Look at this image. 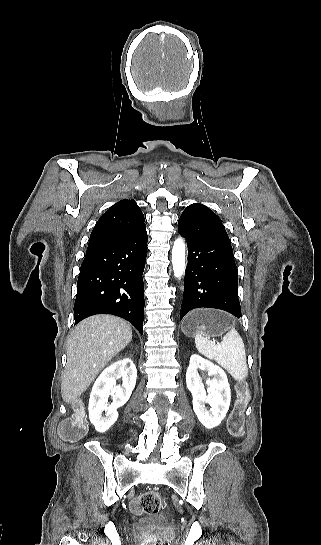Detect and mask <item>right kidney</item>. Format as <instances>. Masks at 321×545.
<instances>
[{"mask_svg":"<svg viewBox=\"0 0 321 545\" xmlns=\"http://www.w3.org/2000/svg\"><path fill=\"white\" fill-rule=\"evenodd\" d=\"M122 377L121 387H116L117 379ZM137 369L131 359H122L104 369L93 385L89 399V419L98 433H105L118 419L117 409L130 399L136 385ZM112 395L111 405L107 399ZM105 411V417L102 413Z\"/></svg>","mask_w":321,"mask_h":545,"instance_id":"ca27d5eb","label":"right kidney"}]
</instances>
